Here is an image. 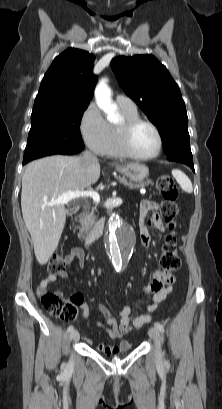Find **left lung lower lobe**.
<instances>
[{"mask_svg":"<svg viewBox=\"0 0 222 409\" xmlns=\"http://www.w3.org/2000/svg\"><path fill=\"white\" fill-rule=\"evenodd\" d=\"M169 161H175V162H180L183 163L187 166H189L193 171H194V164H193V157L192 153H179L176 155H170L167 157Z\"/></svg>","mask_w":222,"mask_h":409,"instance_id":"left-lung-lower-lobe-1","label":"left lung lower lobe"}]
</instances>
